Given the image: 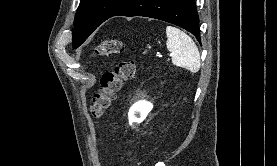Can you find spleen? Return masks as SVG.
Returning a JSON list of instances; mask_svg holds the SVG:
<instances>
[{"label": "spleen", "instance_id": "spleen-1", "mask_svg": "<svg viewBox=\"0 0 277 166\" xmlns=\"http://www.w3.org/2000/svg\"><path fill=\"white\" fill-rule=\"evenodd\" d=\"M167 49L171 52L172 63L192 73L200 69V54L192 38L180 29L167 26Z\"/></svg>", "mask_w": 277, "mask_h": 166}]
</instances>
